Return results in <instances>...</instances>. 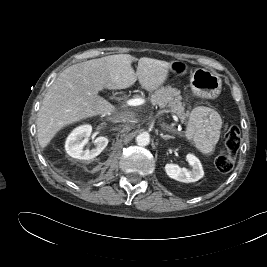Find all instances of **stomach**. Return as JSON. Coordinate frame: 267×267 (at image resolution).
<instances>
[{"instance_id":"1","label":"stomach","mask_w":267,"mask_h":267,"mask_svg":"<svg viewBox=\"0 0 267 267\" xmlns=\"http://www.w3.org/2000/svg\"><path fill=\"white\" fill-rule=\"evenodd\" d=\"M173 72L183 74L187 70V66L181 62L171 63ZM190 86L195 96L205 99H215L219 96L222 89L221 78L206 69L198 68L194 70L190 78Z\"/></svg>"}]
</instances>
